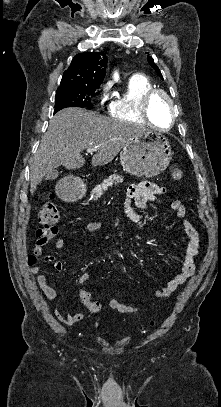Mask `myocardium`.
Wrapping results in <instances>:
<instances>
[{"mask_svg": "<svg viewBox=\"0 0 221 407\" xmlns=\"http://www.w3.org/2000/svg\"><path fill=\"white\" fill-rule=\"evenodd\" d=\"M157 97H162L164 98L171 110V121L170 124L167 128H157L159 131H168L170 130L174 124H175V115H174V101L173 99L170 97V95L168 93H166L164 90L161 89H153L151 91H149L143 98L141 106H140V113L141 116L143 117V119L148 122L151 125H154V122L152 120L151 117V113H150V107L152 102L157 98Z\"/></svg>", "mask_w": 221, "mask_h": 407, "instance_id": "obj_1", "label": "myocardium"}]
</instances>
